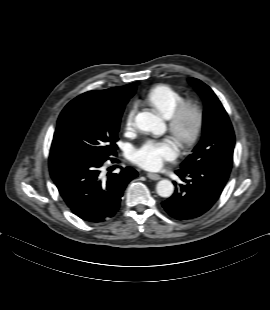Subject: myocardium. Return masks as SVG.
<instances>
[{
	"label": "myocardium",
	"mask_w": 270,
	"mask_h": 310,
	"mask_svg": "<svg viewBox=\"0 0 270 310\" xmlns=\"http://www.w3.org/2000/svg\"><path fill=\"white\" fill-rule=\"evenodd\" d=\"M203 124V109L194 101H184L168 118L170 133L184 146L191 145L198 138Z\"/></svg>",
	"instance_id": "f54148a6"
}]
</instances>
